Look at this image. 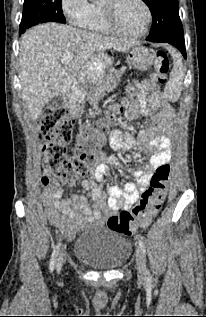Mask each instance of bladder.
<instances>
[{"mask_svg": "<svg viewBox=\"0 0 206 317\" xmlns=\"http://www.w3.org/2000/svg\"><path fill=\"white\" fill-rule=\"evenodd\" d=\"M132 252V243L105 227H90L74 246L75 257L94 270H113L123 264Z\"/></svg>", "mask_w": 206, "mask_h": 317, "instance_id": "bladder-1", "label": "bladder"}]
</instances>
